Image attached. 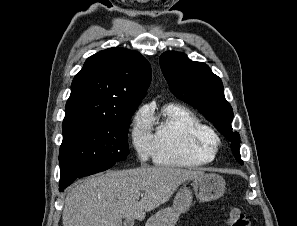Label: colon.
Here are the masks:
<instances>
[{"instance_id": "5ec220e1", "label": "colon", "mask_w": 297, "mask_h": 226, "mask_svg": "<svg viewBox=\"0 0 297 226\" xmlns=\"http://www.w3.org/2000/svg\"><path fill=\"white\" fill-rule=\"evenodd\" d=\"M228 226H252L251 220L239 208H231Z\"/></svg>"}]
</instances>
